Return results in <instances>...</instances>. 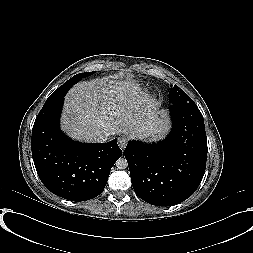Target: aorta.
Wrapping results in <instances>:
<instances>
[{
  "instance_id": "1",
  "label": "aorta",
  "mask_w": 253,
  "mask_h": 253,
  "mask_svg": "<svg viewBox=\"0 0 253 253\" xmlns=\"http://www.w3.org/2000/svg\"><path fill=\"white\" fill-rule=\"evenodd\" d=\"M128 166V162L124 157H120L117 161H116V167L117 169H126Z\"/></svg>"
}]
</instances>
